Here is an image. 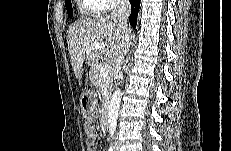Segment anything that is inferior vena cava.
<instances>
[{
    "mask_svg": "<svg viewBox=\"0 0 231 151\" xmlns=\"http://www.w3.org/2000/svg\"><path fill=\"white\" fill-rule=\"evenodd\" d=\"M131 12V5L128 0H116L115 1V8L112 12V17L118 21L121 28H123L126 32H130L131 29L128 26V17ZM129 46L126 48L125 53L128 52ZM124 56H121V60L119 66L122 63Z\"/></svg>",
    "mask_w": 231,
    "mask_h": 151,
    "instance_id": "602c4592",
    "label": "inferior vena cava"
}]
</instances>
